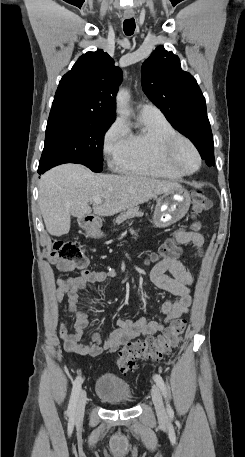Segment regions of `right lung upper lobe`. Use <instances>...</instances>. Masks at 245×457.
<instances>
[{"label": "right lung upper lobe", "mask_w": 245, "mask_h": 457, "mask_svg": "<svg viewBox=\"0 0 245 457\" xmlns=\"http://www.w3.org/2000/svg\"><path fill=\"white\" fill-rule=\"evenodd\" d=\"M122 71L103 50L87 52L66 73L58 86L51 114L82 113L116 118V93Z\"/></svg>", "instance_id": "cb5924a9"}]
</instances>
